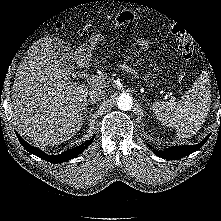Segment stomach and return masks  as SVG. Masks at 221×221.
<instances>
[{
  "mask_svg": "<svg viewBox=\"0 0 221 221\" xmlns=\"http://www.w3.org/2000/svg\"><path fill=\"white\" fill-rule=\"evenodd\" d=\"M136 17V12L130 9H123L122 11H119L113 19L114 29H122L125 25H128L131 21L136 19ZM101 40L102 35L100 33L93 34L90 37L89 44L83 45L77 50L78 54L84 57V59L88 58L90 56L91 50Z\"/></svg>",
  "mask_w": 221,
  "mask_h": 221,
  "instance_id": "0dacf381",
  "label": "stomach"
}]
</instances>
